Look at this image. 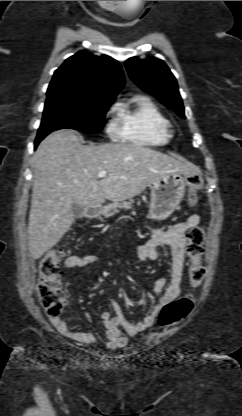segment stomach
Segmentation results:
<instances>
[{
  "mask_svg": "<svg viewBox=\"0 0 242 416\" xmlns=\"http://www.w3.org/2000/svg\"><path fill=\"white\" fill-rule=\"evenodd\" d=\"M186 180L187 177L183 174L171 173L154 181L150 185L151 200L148 217L155 220L169 217L184 197Z\"/></svg>",
  "mask_w": 242,
  "mask_h": 416,
  "instance_id": "0dacf381",
  "label": "stomach"
}]
</instances>
